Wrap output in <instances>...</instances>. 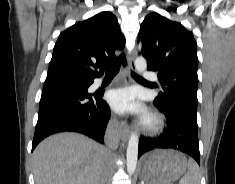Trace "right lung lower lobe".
I'll list each match as a JSON object with an SVG mask.
<instances>
[{"label": "right lung lower lobe", "instance_id": "98d812e1", "mask_svg": "<svg viewBox=\"0 0 235 184\" xmlns=\"http://www.w3.org/2000/svg\"><path fill=\"white\" fill-rule=\"evenodd\" d=\"M94 79L52 77L46 79L40 99L32 151L49 135L73 131L103 143L110 108L103 92L87 93Z\"/></svg>", "mask_w": 235, "mask_h": 184}]
</instances>
